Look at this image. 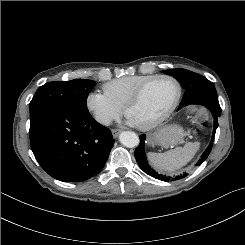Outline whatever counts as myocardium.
<instances>
[{"label":"myocardium","instance_id":"myocardium-1","mask_svg":"<svg viewBox=\"0 0 245 245\" xmlns=\"http://www.w3.org/2000/svg\"><path fill=\"white\" fill-rule=\"evenodd\" d=\"M157 80H170L174 82L177 87V94H176L173 104L171 105V107L168 109V111L164 115H162L160 118L156 119L155 121L149 124L139 126V128L144 131L152 130L160 126L161 124H163L174 113V111L178 107L179 102L181 100V96H182L181 82L176 77L171 76V75H156L144 81L142 84H140L137 87V89L133 92V94L129 97V99L124 105V111L126 114H128V110L140 100L146 87L150 85L152 82L157 81Z\"/></svg>","mask_w":245,"mask_h":245}]
</instances>
